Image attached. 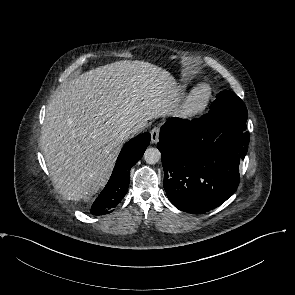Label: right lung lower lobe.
Listing matches in <instances>:
<instances>
[{
	"instance_id": "obj_1",
	"label": "right lung lower lobe",
	"mask_w": 295,
	"mask_h": 295,
	"mask_svg": "<svg viewBox=\"0 0 295 295\" xmlns=\"http://www.w3.org/2000/svg\"><path fill=\"white\" fill-rule=\"evenodd\" d=\"M150 139L149 133H143L124 145L110 180L90 209L92 215L108 214L121 202L128 190L130 169L141 159Z\"/></svg>"
}]
</instances>
